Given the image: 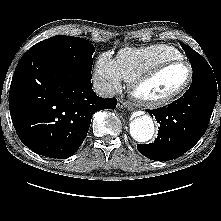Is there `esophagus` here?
I'll list each match as a JSON object with an SVG mask.
<instances>
[{"label": "esophagus", "instance_id": "34e87169", "mask_svg": "<svg viewBox=\"0 0 221 221\" xmlns=\"http://www.w3.org/2000/svg\"><path fill=\"white\" fill-rule=\"evenodd\" d=\"M118 106L121 108H127L128 110L133 109L131 103L128 101H124V100H120Z\"/></svg>", "mask_w": 221, "mask_h": 221}]
</instances>
